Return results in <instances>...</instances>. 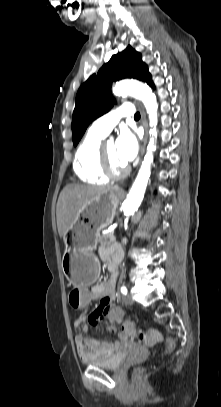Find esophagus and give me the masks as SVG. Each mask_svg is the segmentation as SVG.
Here are the masks:
<instances>
[{
    "instance_id": "34e87169",
    "label": "esophagus",
    "mask_w": 221,
    "mask_h": 407,
    "mask_svg": "<svg viewBox=\"0 0 221 407\" xmlns=\"http://www.w3.org/2000/svg\"><path fill=\"white\" fill-rule=\"evenodd\" d=\"M139 109L141 111V121H142V125L144 127V137L142 139V144H141V156H143L144 152H145L147 137H148V125H147V120H146V113L141 104H139Z\"/></svg>"
}]
</instances>
